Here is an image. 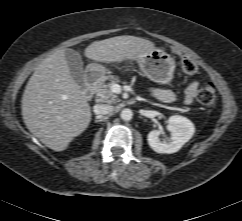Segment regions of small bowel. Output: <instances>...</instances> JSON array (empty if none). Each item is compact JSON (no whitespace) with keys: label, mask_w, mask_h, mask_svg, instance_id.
I'll return each instance as SVG.
<instances>
[{"label":"small bowel","mask_w":242,"mask_h":221,"mask_svg":"<svg viewBox=\"0 0 242 221\" xmlns=\"http://www.w3.org/2000/svg\"><path fill=\"white\" fill-rule=\"evenodd\" d=\"M197 90L198 82L196 80L191 81L187 86L184 97V103L186 105H191L193 103V100L197 94ZM150 92L155 98L163 102H172L175 100V94L170 90L151 87Z\"/></svg>","instance_id":"c3829d8e"}]
</instances>
